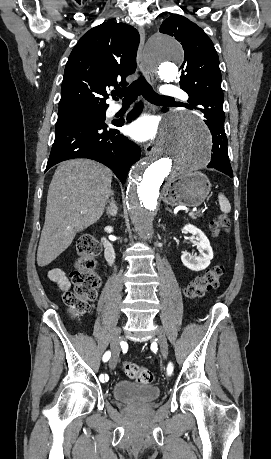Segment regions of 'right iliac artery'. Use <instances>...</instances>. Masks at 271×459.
<instances>
[{
	"mask_svg": "<svg viewBox=\"0 0 271 459\" xmlns=\"http://www.w3.org/2000/svg\"><path fill=\"white\" fill-rule=\"evenodd\" d=\"M110 356H111L110 351H107V352L103 355V361H104V362H107V361L109 360ZM108 376H109V375H108V373H106V372L102 374V377L104 378L103 380H104V382H106V383L109 382V380H110Z\"/></svg>",
	"mask_w": 271,
	"mask_h": 459,
	"instance_id": "1",
	"label": "right iliac artery"
}]
</instances>
